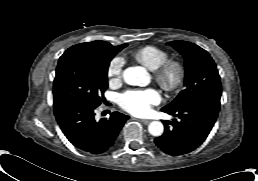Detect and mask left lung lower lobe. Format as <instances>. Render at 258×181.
Wrapping results in <instances>:
<instances>
[{
	"label": "left lung lower lobe",
	"mask_w": 258,
	"mask_h": 181,
	"mask_svg": "<svg viewBox=\"0 0 258 181\" xmlns=\"http://www.w3.org/2000/svg\"><path fill=\"white\" fill-rule=\"evenodd\" d=\"M220 110V102L199 101L176 110L164 109L179 120L163 121L165 131L154 142L166 154L172 156L189 153L200 146L210 133Z\"/></svg>",
	"instance_id": "obj_1"
}]
</instances>
